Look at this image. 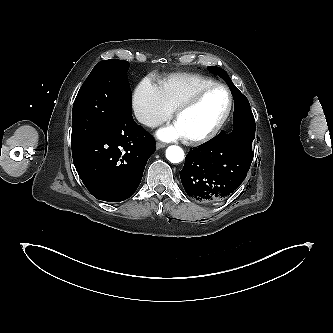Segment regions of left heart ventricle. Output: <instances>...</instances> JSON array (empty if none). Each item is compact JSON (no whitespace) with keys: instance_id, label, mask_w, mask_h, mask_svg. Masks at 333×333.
<instances>
[{"instance_id":"1","label":"left heart ventricle","mask_w":333,"mask_h":333,"mask_svg":"<svg viewBox=\"0 0 333 333\" xmlns=\"http://www.w3.org/2000/svg\"><path fill=\"white\" fill-rule=\"evenodd\" d=\"M228 105L227 92L216 88L208 92L193 108L176 121L185 137H195L210 131L222 118Z\"/></svg>"}]
</instances>
